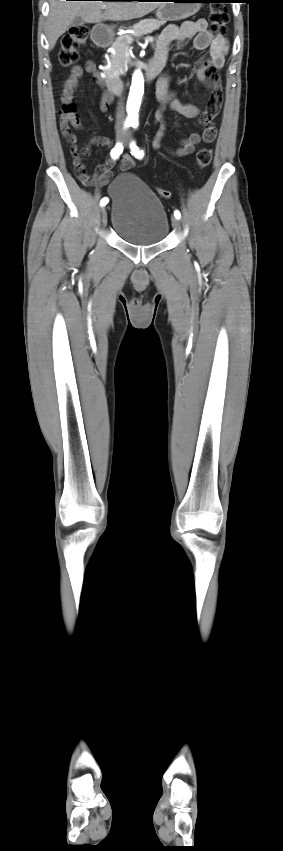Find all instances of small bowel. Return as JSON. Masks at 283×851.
<instances>
[{
	"mask_svg": "<svg viewBox=\"0 0 283 851\" xmlns=\"http://www.w3.org/2000/svg\"><path fill=\"white\" fill-rule=\"evenodd\" d=\"M188 40H193V46L197 50L209 49L210 60L208 63L203 61L198 63L196 75L200 81L204 82L207 87L211 91H215V93L211 96L208 107L203 111L196 105L183 104L175 97L174 93L171 92L169 88L170 76L168 74H164L157 86V98L161 105L155 113V121L159 122L162 126H166L167 124L164 114L167 106L186 118H197L201 123L207 124L217 115L222 101L219 84L214 77V72L215 70L221 69L224 65L225 56L228 52V42L222 35L211 33L207 29V21L205 19L185 21L181 25H168L157 37L156 53L153 59L161 60L165 65L168 59L170 45L173 42L182 43ZM84 73L92 74L98 82V85L103 89H108L110 87L108 76L100 74L94 62L87 61L84 66L76 65L71 69L70 75L62 90V100L65 104L72 102L73 92L78 86L79 80ZM112 101L113 96L111 92L108 90L105 91L100 101V109L103 112H106ZM69 121H71L75 127H80V122L77 118L73 115H67L63 117L61 121L62 135L70 144V153L73 157V165L86 172V168L82 163V158L90 155L91 146H109L111 141L105 136H94L91 138L88 145L79 149L76 145V135L68 126ZM162 135V130L157 132L153 142V147L155 149L160 147V139ZM215 136L216 131L213 136H209L206 134V129L203 134L197 132L191 133L182 139L180 147L173 153L176 156L190 155L194 152L197 144L200 142H211L214 140ZM114 160L115 159L112 157H108L104 164L99 165L94 178H92V182L95 179L99 184H107L112 176V168L115 164ZM134 165L135 162L129 155L123 156L120 164L122 170H127Z\"/></svg>",
	"mask_w": 283,
	"mask_h": 851,
	"instance_id": "obj_1",
	"label": "small bowel"
}]
</instances>
